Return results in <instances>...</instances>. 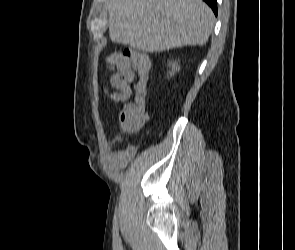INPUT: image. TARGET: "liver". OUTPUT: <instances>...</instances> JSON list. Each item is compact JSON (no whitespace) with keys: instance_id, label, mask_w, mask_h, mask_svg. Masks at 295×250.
<instances>
[{"instance_id":"1","label":"liver","mask_w":295,"mask_h":250,"mask_svg":"<svg viewBox=\"0 0 295 250\" xmlns=\"http://www.w3.org/2000/svg\"><path fill=\"white\" fill-rule=\"evenodd\" d=\"M107 6L111 40L146 52L202 46L215 20L202 0H108Z\"/></svg>"}]
</instances>
